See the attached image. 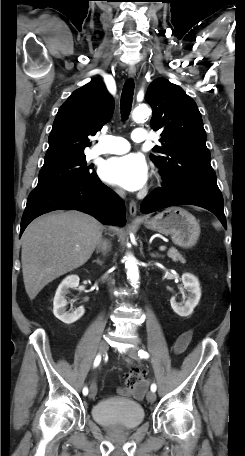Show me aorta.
I'll return each instance as SVG.
<instances>
[{"label":"aorta","instance_id":"1","mask_svg":"<svg viewBox=\"0 0 245 456\" xmlns=\"http://www.w3.org/2000/svg\"><path fill=\"white\" fill-rule=\"evenodd\" d=\"M151 114V109L145 105L141 104L137 106L132 113V118L135 121H140L147 118ZM125 268L127 270V278L130 280L131 284L137 287L139 280V271L137 266V261L133 255L128 254L125 257Z\"/></svg>","mask_w":245,"mask_h":456}]
</instances>
